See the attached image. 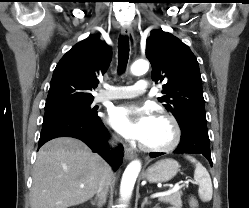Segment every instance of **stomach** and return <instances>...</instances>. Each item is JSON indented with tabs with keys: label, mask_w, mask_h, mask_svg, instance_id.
Here are the masks:
<instances>
[{
	"label": "stomach",
	"mask_w": 249,
	"mask_h": 208,
	"mask_svg": "<svg viewBox=\"0 0 249 208\" xmlns=\"http://www.w3.org/2000/svg\"><path fill=\"white\" fill-rule=\"evenodd\" d=\"M179 171V163L174 159H162L148 167L144 179L150 183H163L171 180Z\"/></svg>",
	"instance_id": "stomach-1"
}]
</instances>
